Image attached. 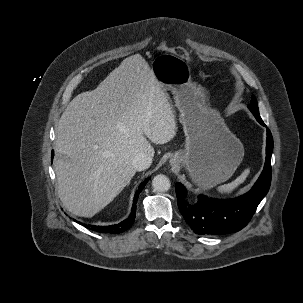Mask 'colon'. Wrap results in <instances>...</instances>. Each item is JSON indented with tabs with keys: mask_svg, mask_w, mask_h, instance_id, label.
<instances>
[{
	"mask_svg": "<svg viewBox=\"0 0 303 303\" xmlns=\"http://www.w3.org/2000/svg\"><path fill=\"white\" fill-rule=\"evenodd\" d=\"M158 49L162 52H169L175 54L185 60L189 59L188 53L179 47H171L165 41H161L158 45Z\"/></svg>",
	"mask_w": 303,
	"mask_h": 303,
	"instance_id": "obj_1",
	"label": "colon"
}]
</instances>
